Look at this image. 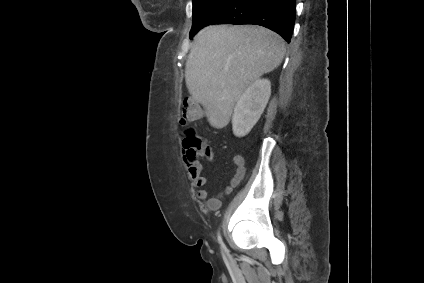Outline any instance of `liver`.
Segmentation results:
<instances>
[{"instance_id":"liver-1","label":"liver","mask_w":424,"mask_h":283,"mask_svg":"<svg viewBox=\"0 0 424 283\" xmlns=\"http://www.w3.org/2000/svg\"><path fill=\"white\" fill-rule=\"evenodd\" d=\"M282 37L257 25H210L194 38L185 67L192 98L206 108L215 128L225 127L235 103L259 77L277 68Z\"/></svg>"}]
</instances>
